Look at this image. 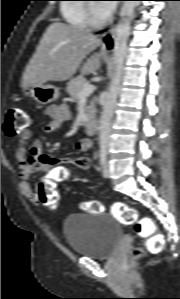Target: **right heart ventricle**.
I'll use <instances>...</instances> for the list:
<instances>
[{
    "label": "right heart ventricle",
    "instance_id": "right-heart-ventricle-1",
    "mask_svg": "<svg viewBox=\"0 0 180 299\" xmlns=\"http://www.w3.org/2000/svg\"><path fill=\"white\" fill-rule=\"evenodd\" d=\"M67 2H77L82 0H66ZM62 15L65 21L79 29L90 27L88 22L87 6L85 4L64 3L61 6Z\"/></svg>",
    "mask_w": 180,
    "mask_h": 299
}]
</instances>
